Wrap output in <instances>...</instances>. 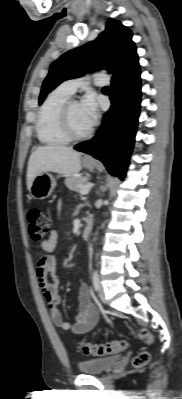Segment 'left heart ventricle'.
Wrapping results in <instances>:
<instances>
[{"instance_id": "obj_1", "label": "left heart ventricle", "mask_w": 182, "mask_h": 399, "mask_svg": "<svg viewBox=\"0 0 182 399\" xmlns=\"http://www.w3.org/2000/svg\"><path fill=\"white\" fill-rule=\"evenodd\" d=\"M70 122L76 134H83L91 127L77 101L73 102L70 107Z\"/></svg>"}]
</instances>
